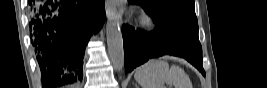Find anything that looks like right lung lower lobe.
I'll return each instance as SVG.
<instances>
[{
	"mask_svg": "<svg viewBox=\"0 0 267 88\" xmlns=\"http://www.w3.org/2000/svg\"><path fill=\"white\" fill-rule=\"evenodd\" d=\"M105 0H29L30 38L45 88L82 79L83 58L102 27Z\"/></svg>",
	"mask_w": 267,
	"mask_h": 88,
	"instance_id": "1",
	"label": "right lung lower lobe"
}]
</instances>
